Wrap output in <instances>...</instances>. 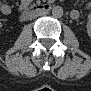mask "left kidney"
Segmentation results:
<instances>
[{"instance_id": "obj_1", "label": "left kidney", "mask_w": 91, "mask_h": 91, "mask_svg": "<svg viewBox=\"0 0 91 91\" xmlns=\"http://www.w3.org/2000/svg\"><path fill=\"white\" fill-rule=\"evenodd\" d=\"M87 32H88V34L91 33L89 25H87Z\"/></svg>"}]
</instances>
